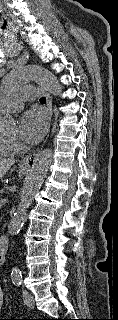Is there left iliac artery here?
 Masks as SVG:
<instances>
[{
	"label": "left iliac artery",
	"mask_w": 118,
	"mask_h": 320,
	"mask_svg": "<svg viewBox=\"0 0 118 320\" xmlns=\"http://www.w3.org/2000/svg\"><path fill=\"white\" fill-rule=\"evenodd\" d=\"M15 282L18 284V286L21 285V280H16Z\"/></svg>",
	"instance_id": "1"
}]
</instances>
